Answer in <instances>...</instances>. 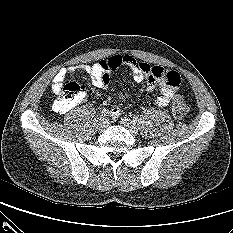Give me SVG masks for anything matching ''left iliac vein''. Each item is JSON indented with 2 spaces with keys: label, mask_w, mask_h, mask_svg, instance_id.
Returning a JSON list of instances; mask_svg holds the SVG:
<instances>
[{
  "label": "left iliac vein",
  "mask_w": 233,
  "mask_h": 233,
  "mask_svg": "<svg viewBox=\"0 0 233 233\" xmlns=\"http://www.w3.org/2000/svg\"><path fill=\"white\" fill-rule=\"evenodd\" d=\"M120 122L124 127L129 129V131L132 134L136 135L138 133V128H137L136 123L133 120H131L130 118L124 117L121 119Z\"/></svg>",
  "instance_id": "4c4485c4"
}]
</instances>
